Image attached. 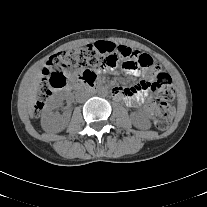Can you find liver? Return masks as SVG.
Segmentation results:
<instances>
[{
    "label": "liver",
    "mask_w": 207,
    "mask_h": 207,
    "mask_svg": "<svg viewBox=\"0 0 207 207\" xmlns=\"http://www.w3.org/2000/svg\"><path fill=\"white\" fill-rule=\"evenodd\" d=\"M43 74L41 68L33 70L25 79L22 88V98L29 110L30 116L34 117L33 110L37 101V94L40 89Z\"/></svg>",
    "instance_id": "6515ba94"
}]
</instances>
